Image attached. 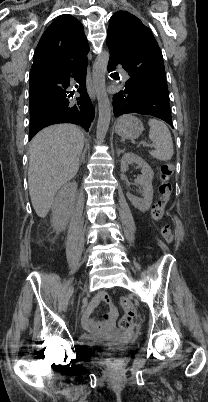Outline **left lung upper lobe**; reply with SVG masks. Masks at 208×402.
<instances>
[{"label":"left lung upper lobe","instance_id":"5c2ea615","mask_svg":"<svg viewBox=\"0 0 208 402\" xmlns=\"http://www.w3.org/2000/svg\"><path fill=\"white\" fill-rule=\"evenodd\" d=\"M107 42L126 57L130 79L169 100L162 52L151 32L136 16L116 12L109 21Z\"/></svg>","mask_w":208,"mask_h":402}]
</instances>
